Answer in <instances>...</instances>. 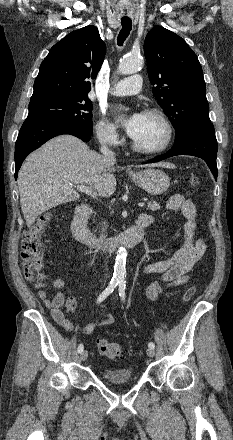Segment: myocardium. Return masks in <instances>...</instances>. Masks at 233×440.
Segmentation results:
<instances>
[{"instance_id":"myocardium-1","label":"myocardium","mask_w":233,"mask_h":440,"mask_svg":"<svg viewBox=\"0 0 233 440\" xmlns=\"http://www.w3.org/2000/svg\"><path fill=\"white\" fill-rule=\"evenodd\" d=\"M143 114L155 116L162 122V124L164 125V127L166 129L165 140L158 147L144 148V147L140 146L139 144H137L132 139V142H131L132 148L134 151H136L140 154H144V155L160 154V153L164 152L166 149H168V147L171 145V143L173 141V137H174L173 125H172L171 121L169 120V118L167 117V115L160 109L148 108V109L144 110Z\"/></svg>"}]
</instances>
